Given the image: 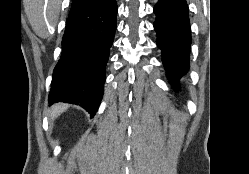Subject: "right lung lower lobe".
Returning <instances> with one entry per match:
<instances>
[{
  "mask_svg": "<svg viewBox=\"0 0 249 174\" xmlns=\"http://www.w3.org/2000/svg\"><path fill=\"white\" fill-rule=\"evenodd\" d=\"M116 0H99L70 11L62 54L52 78L49 102L79 104L91 118L100 105L109 49L117 26Z\"/></svg>",
  "mask_w": 249,
  "mask_h": 174,
  "instance_id": "obj_1",
  "label": "right lung lower lobe"
}]
</instances>
